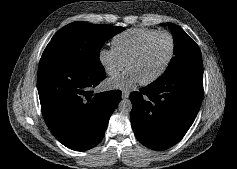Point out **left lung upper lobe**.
I'll return each mask as SVG.
<instances>
[{
  "label": "left lung upper lobe",
  "mask_w": 237,
  "mask_h": 169,
  "mask_svg": "<svg viewBox=\"0 0 237 169\" xmlns=\"http://www.w3.org/2000/svg\"><path fill=\"white\" fill-rule=\"evenodd\" d=\"M165 26L164 24H162ZM173 34L174 57L166 71L158 79L174 77L182 73L203 69L202 56L198 45L179 26L167 23Z\"/></svg>",
  "instance_id": "1"
}]
</instances>
